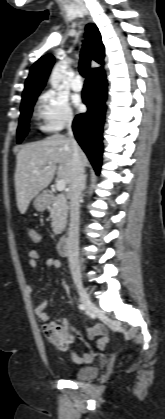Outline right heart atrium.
Listing matches in <instances>:
<instances>
[{
	"label": "right heart atrium",
	"instance_id": "obj_1",
	"mask_svg": "<svg viewBox=\"0 0 165 419\" xmlns=\"http://www.w3.org/2000/svg\"><path fill=\"white\" fill-rule=\"evenodd\" d=\"M38 114L41 128L45 132L60 131L74 120L68 99L53 90H48L39 97Z\"/></svg>",
	"mask_w": 165,
	"mask_h": 419
}]
</instances>
